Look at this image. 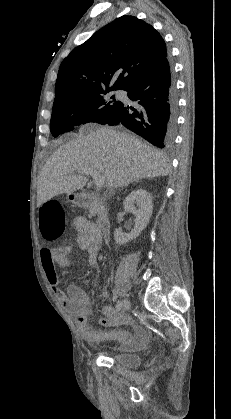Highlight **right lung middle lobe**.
Instances as JSON below:
<instances>
[{"instance_id":"dd1d6c3e","label":"right lung middle lobe","mask_w":231,"mask_h":419,"mask_svg":"<svg viewBox=\"0 0 231 419\" xmlns=\"http://www.w3.org/2000/svg\"><path fill=\"white\" fill-rule=\"evenodd\" d=\"M110 90L113 89L55 102L50 121L52 135L57 137L73 130L76 125L106 120L121 105L114 96L111 99L106 97Z\"/></svg>"}]
</instances>
